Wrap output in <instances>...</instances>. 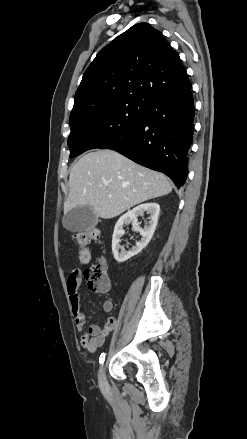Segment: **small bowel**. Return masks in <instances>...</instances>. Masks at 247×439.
<instances>
[{
	"mask_svg": "<svg viewBox=\"0 0 247 439\" xmlns=\"http://www.w3.org/2000/svg\"><path fill=\"white\" fill-rule=\"evenodd\" d=\"M81 282L82 271L79 269L72 270L67 279V289L75 324L79 331H82L87 324V316L81 310L80 297L78 294ZM113 307V302L111 300L108 299L104 301L103 310L106 313H110L113 310ZM116 324V317L110 316L102 328L96 324L90 325L87 331L81 336V345L88 351L95 352L104 344L107 336L116 327Z\"/></svg>",
	"mask_w": 247,
	"mask_h": 439,
	"instance_id": "small-bowel-1",
	"label": "small bowel"
}]
</instances>
